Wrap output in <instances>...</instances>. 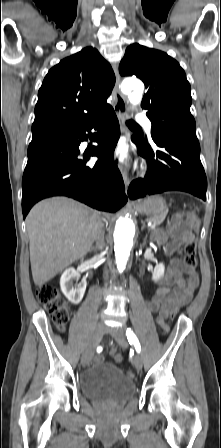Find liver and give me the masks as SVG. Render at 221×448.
<instances>
[{
    "instance_id": "6515ba94",
    "label": "liver",
    "mask_w": 221,
    "mask_h": 448,
    "mask_svg": "<svg viewBox=\"0 0 221 448\" xmlns=\"http://www.w3.org/2000/svg\"><path fill=\"white\" fill-rule=\"evenodd\" d=\"M108 219V214L66 197L37 203L26 218L35 285L42 286L83 258L90 251L100 221Z\"/></svg>"
}]
</instances>
